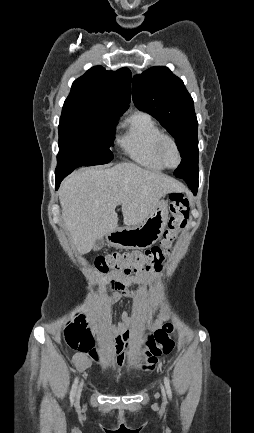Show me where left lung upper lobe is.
Returning a JSON list of instances; mask_svg holds the SVG:
<instances>
[{"mask_svg":"<svg viewBox=\"0 0 254 433\" xmlns=\"http://www.w3.org/2000/svg\"><path fill=\"white\" fill-rule=\"evenodd\" d=\"M136 107L156 118L175 138L182 160L174 175L198 180V122L183 81L167 67H152L133 78Z\"/></svg>","mask_w":254,"mask_h":433,"instance_id":"left-lung-upper-lobe-1","label":"left lung upper lobe"}]
</instances>
